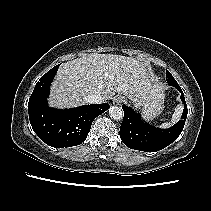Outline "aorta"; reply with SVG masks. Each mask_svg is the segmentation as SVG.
Listing matches in <instances>:
<instances>
[{"instance_id": "762f6f07", "label": "aorta", "mask_w": 211, "mask_h": 211, "mask_svg": "<svg viewBox=\"0 0 211 211\" xmlns=\"http://www.w3.org/2000/svg\"><path fill=\"white\" fill-rule=\"evenodd\" d=\"M109 115L111 118H113L115 120H120L123 118L124 112H123L122 108H120L118 106H111L109 108Z\"/></svg>"}]
</instances>
